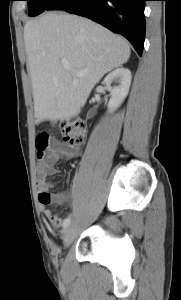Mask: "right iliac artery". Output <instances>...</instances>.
<instances>
[{"mask_svg":"<svg viewBox=\"0 0 181 300\" xmlns=\"http://www.w3.org/2000/svg\"><path fill=\"white\" fill-rule=\"evenodd\" d=\"M71 222V219L68 217L63 221V228H67Z\"/></svg>","mask_w":181,"mask_h":300,"instance_id":"82829eb1","label":"right iliac artery"}]
</instances>
